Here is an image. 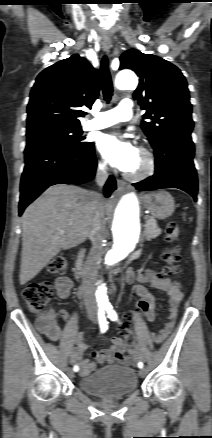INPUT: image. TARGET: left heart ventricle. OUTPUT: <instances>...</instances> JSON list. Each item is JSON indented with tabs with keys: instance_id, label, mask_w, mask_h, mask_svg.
<instances>
[{
	"instance_id": "left-heart-ventricle-1",
	"label": "left heart ventricle",
	"mask_w": 212,
	"mask_h": 438,
	"mask_svg": "<svg viewBox=\"0 0 212 438\" xmlns=\"http://www.w3.org/2000/svg\"><path fill=\"white\" fill-rule=\"evenodd\" d=\"M144 166V161L143 159L138 155V157L136 158L134 164L132 165V167L130 168L131 171H138L141 170Z\"/></svg>"
}]
</instances>
